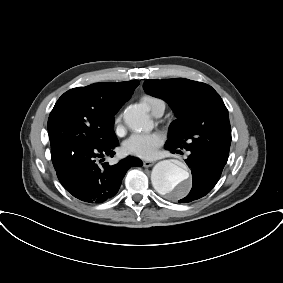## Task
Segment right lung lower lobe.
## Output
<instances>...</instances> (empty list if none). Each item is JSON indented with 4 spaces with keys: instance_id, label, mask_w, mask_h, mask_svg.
<instances>
[{
    "instance_id": "obj_1",
    "label": "right lung lower lobe",
    "mask_w": 283,
    "mask_h": 283,
    "mask_svg": "<svg viewBox=\"0 0 283 283\" xmlns=\"http://www.w3.org/2000/svg\"><path fill=\"white\" fill-rule=\"evenodd\" d=\"M118 140L107 147L81 145L70 152L51 153L57 176L63 187L74 197L88 203H102L118 192L122 179L131 167L142 162L128 156L116 165H100L99 158L113 156Z\"/></svg>"
}]
</instances>
